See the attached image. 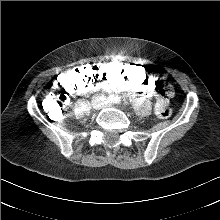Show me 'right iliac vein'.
<instances>
[{"mask_svg": "<svg viewBox=\"0 0 220 220\" xmlns=\"http://www.w3.org/2000/svg\"><path fill=\"white\" fill-rule=\"evenodd\" d=\"M92 106H93V108L96 109V110H99L100 107H101L100 104H99V102H98L97 100H95V101L92 102Z\"/></svg>", "mask_w": 220, "mask_h": 220, "instance_id": "obj_1", "label": "right iliac vein"}]
</instances>
